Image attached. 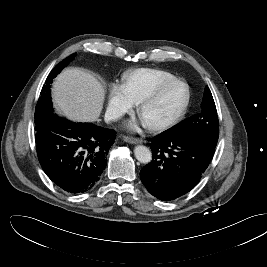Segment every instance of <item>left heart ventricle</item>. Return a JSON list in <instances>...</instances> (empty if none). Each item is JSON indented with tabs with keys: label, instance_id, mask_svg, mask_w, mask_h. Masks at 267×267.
I'll return each mask as SVG.
<instances>
[{
	"label": "left heart ventricle",
	"instance_id": "1",
	"mask_svg": "<svg viewBox=\"0 0 267 267\" xmlns=\"http://www.w3.org/2000/svg\"><path fill=\"white\" fill-rule=\"evenodd\" d=\"M185 98L186 89L183 85L169 88L155 102L143 109V122L156 123L172 117L182 107Z\"/></svg>",
	"mask_w": 267,
	"mask_h": 267
}]
</instances>
